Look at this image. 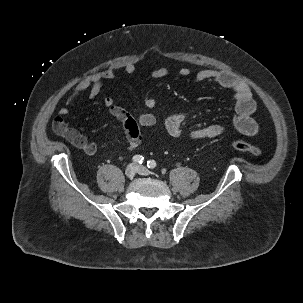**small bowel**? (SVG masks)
Segmentation results:
<instances>
[{
  "instance_id": "1",
  "label": "small bowel",
  "mask_w": 303,
  "mask_h": 303,
  "mask_svg": "<svg viewBox=\"0 0 303 303\" xmlns=\"http://www.w3.org/2000/svg\"><path fill=\"white\" fill-rule=\"evenodd\" d=\"M123 69L127 74H134L136 66L133 63H127ZM168 73L169 71L167 68L160 67L151 72V77L155 79L163 78L167 76ZM190 73L191 70L184 67L177 72V75L180 77H187ZM115 75L114 69L108 68L82 78L70 95L67 105L73 103L80 94L87 90L89 91V98L93 99L97 97L102 90L103 83L107 80L114 79ZM195 80L197 82L214 83L222 88L230 90L234 96V128L239 133L246 136H254L258 133V124L252 117L256 110V103L252 97L251 90L246 83L240 81L229 72L213 69L199 71L195 75ZM144 104L148 109H152L156 105V100L152 96H146L144 98ZM104 106L107 113L122 124L125 136L128 140L129 150H134L140 145L143 137V128L157 124V117L153 113L143 112L135 117L124 108L115 105L114 100L109 96L105 97ZM68 113V106H64L60 109L58 116L53 122L54 131L65 138L74 147L82 150L85 154L90 156L95 155L98 151V146L77 129L67 125L64 118ZM187 116L188 113L186 112H177L166 118L165 128L170 136L180 137L186 135L193 140H203L221 136L226 130V128L220 124L186 129L184 124Z\"/></svg>"
}]
</instances>
